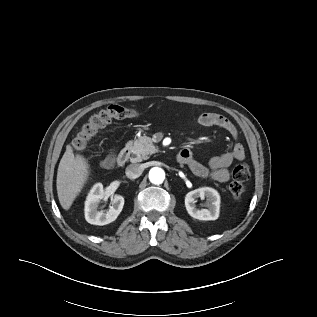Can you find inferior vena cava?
Masks as SVG:
<instances>
[{
  "mask_svg": "<svg viewBox=\"0 0 317 317\" xmlns=\"http://www.w3.org/2000/svg\"><path fill=\"white\" fill-rule=\"evenodd\" d=\"M143 167L139 164H131L127 166L126 168V176L130 179H135L138 178L142 172H143Z\"/></svg>",
  "mask_w": 317,
  "mask_h": 317,
  "instance_id": "inferior-vena-cava-1",
  "label": "inferior vena cava"
}]
</instances>
